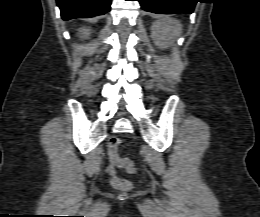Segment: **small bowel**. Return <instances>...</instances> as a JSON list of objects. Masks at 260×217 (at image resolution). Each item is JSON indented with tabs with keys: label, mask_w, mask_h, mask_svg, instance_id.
I'll return each instance as SVG.
<instances>
[{
	"label": "small bowel",
	"mask_w": 260,
	"mask_h": 217,
	"mask_svg": "<svg viewBox=\"0 0 260 217\" xmlns=\"http://www.w3.org/2000/svg\"><path fill=\"white\" fill-rule=\"evenodd\" d=\"M108 167H107V172L109 174H114L116 171V168L118 167V156L116 153V149H114L113 147H111L109 145V149H108Z\"/></svg>",
	"instance_id": "c3829d8e"
}]
</instances>
